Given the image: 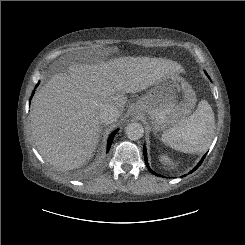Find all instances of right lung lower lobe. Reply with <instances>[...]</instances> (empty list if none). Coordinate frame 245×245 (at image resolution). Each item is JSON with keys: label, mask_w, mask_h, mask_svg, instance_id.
<instances>
[{"label": "right lung lower lobe", "mask_w": 245, "mask_h": 245, "mask_svg": "<svg viewBox=\"0 0 245 245\" xmlns=\"http://www.w3.org/2000/svg\"><path fill=\"white\" fill-rule=\"evenodd\" d=\"M39 84V83H38ZM38 84L36 85V87L38 86ZM34 94V91L32 92V95ZM31 99V98H30ZM118 132V129L115 130L110 136H109V139H108V144H107V152L109 151L110 147H111V144H112V141L114 139V136L115 134Z\"/></svg>", "instance_id": "98d812e1"}]
</instances>
